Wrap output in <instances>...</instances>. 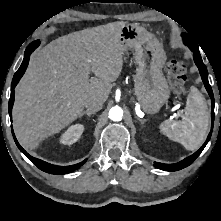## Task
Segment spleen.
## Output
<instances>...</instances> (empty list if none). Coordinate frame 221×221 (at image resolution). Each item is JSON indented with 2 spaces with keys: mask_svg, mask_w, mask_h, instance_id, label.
Here are the masks:
<instances>
[{
  "mask_svg": "<svg viewBox=\"0 0 221 221\" xmlns=\"http://www.w3.org/2000/svg\"><path fill=\"white\" fill-rule=\"evenodd\" d=\"M209 126V110L203 95L192 87L187 96L185 116L182 120H165L160 131L169 139L181 143L185 149H198L206 137Z\"/></svg>",
  "mask_w": 221,
  "mask_h": 221,
  "instance_id": "3e777b00",
  "label": "spleen"
}]
</instances>
